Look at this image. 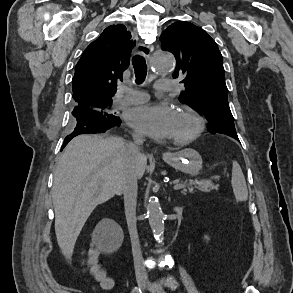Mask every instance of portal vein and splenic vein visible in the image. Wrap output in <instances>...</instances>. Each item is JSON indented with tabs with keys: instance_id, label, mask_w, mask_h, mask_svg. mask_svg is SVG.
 <instances>
[{
	"instance_id": "portal-vein-and-splenic-vein-1",
	"label": "portal vein and splenic vein",
	"mask_w": 293,
	"mask_h": 293,
	"mask_svg": "<svg viewBox=\"0 0 293 293\" xmlns=\"http://www.w3.org/2000/svg\"><path fill=\"white\" fill-rule=\"evenodd\" d=\"M184 187H185L184 183H177V184L174 185L173 189L174 190H180V189H182Z\"/></svg>"
}]
</instances>
